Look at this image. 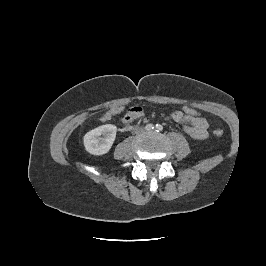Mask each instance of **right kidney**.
I'll return each instance as SVG.
<instances>
[{
	"mask_svg": "<svg viewBox=\"0 0 266 266\" xmlns=\"http://www.w3.org/2000/svg\"><path fill=\"white\" fill-rule=\"evenodd\" d=\"M116 132L117 127L112 124L102 125L87 132L84 136L86 151L92 155L106 154L115 141Z\"/></svg>",
	"mask_w": 266,
	"mask_h": 266,
	"instance_id": "1",
	"label": "right kidney"
}]
</instances>
